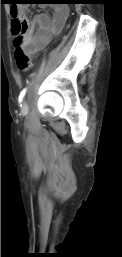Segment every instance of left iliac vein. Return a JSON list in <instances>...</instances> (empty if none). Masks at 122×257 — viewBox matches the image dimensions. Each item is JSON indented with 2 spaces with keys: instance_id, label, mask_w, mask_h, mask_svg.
Returning <instances> with one entry per match:
<instances>
[{
  "instance_id": "left-iliac-vein-1",
  "label": "left iliac vein",
  "mask_w": 122,
  "mask_h": 257,
  "mask_svg": "<svg viewBox=\"0 0 122 257\" xmlns=\"http://www.w3.org/2000/svg\"><path fill=\"white\" fill-rule=\"evenodd\" d=\"M28 110H29L28 104H27L26 101H24L23 104H22L21 112H22L23 114H27V113H28Z\"/></svg>"
}]
</instances>
